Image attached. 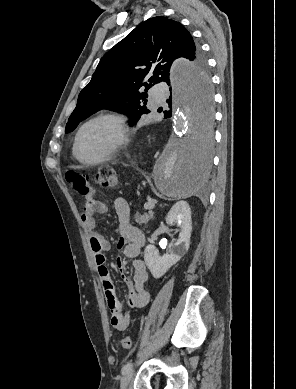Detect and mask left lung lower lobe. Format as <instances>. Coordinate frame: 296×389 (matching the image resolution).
Here are the masks:
<instances>
[{
  "mask_svg": "<svg viewBox=\"0 0 296 389\" xmlns=\"http://www.w3.org/2000/svg\"><path fill=\"white\" fill-rule=\"evenodd\" d=\"M171 85V83H167ZM172 88H170V91ZM195 97L202 101L204 109L211 113V98L210 89L201 88L199 84L193 85ZM174 95L177 98V92L174 87ZM170 110L164 111V117L170 118L172 116V93L167 99ZM204 131L199 138L194 139L190 144L188 150L179 159V175L181 177H191L194 180L202 178L210 164V139Z\"/></svg>",
  "mask_w": 296,
  "mask_h": 389,
  "instance_id": "0a47b994",
  "label": "left lung lower lobe"
}]
</instances>
